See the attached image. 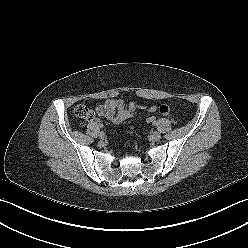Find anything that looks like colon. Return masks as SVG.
I'll return each mask as SVG.
<instances>
[{
	"label": "colon",
	"mask_w": 248,
	"mask_h": 248,
	"mask_svg": "<svg viewBox=\"0 0 248 248\" xmlns=\"http://www.w3.org/2000/svg\"><path fill=\"white\" fill-rule=\"evenodd\" d=\"M74 114L76 117L83 120H91L93 118V112L87 106L80 104L75 107ZM156 117L151 115L146 118V122L148 124H152L155 122Z\"/></svg>",
	"instance_id": "5ec220e1"
}]
</instances>
